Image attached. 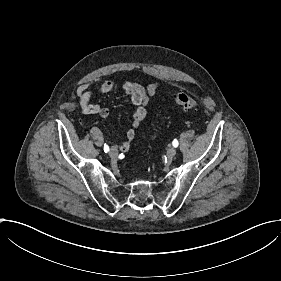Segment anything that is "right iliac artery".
I'll list each match as a JSON object with an SVG mask.
<instances>
[{"label":"right iliac artery","instance_id":"obj_1","mask_svg":"<svg viewBox=\"0 0 281 281\" xmlns=\"http://www.w3.org/2000/svg\"><path fill=\"white\" fill-rule=\"evenodd\" d=\"M104 151H105V153H107L109 151V147L106 145V143L104 144Z\"/></svg>","mask_w":281,"mask_h":281}]
</instances>
